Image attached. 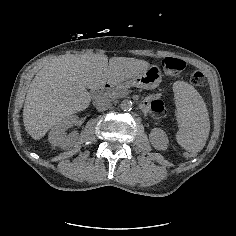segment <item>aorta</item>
Returning <instances> with one entry per match:
<instances>
[{
	"label": "aorta",
	"mask_w": 236,
	"mask_h": 236,
	"mask_svg": "<svg viewBox=\"0 0 236 236\" xmlns=\"http://www.w3.org/2000/svg\"><path fill=\"white\" fill-rule=\"evenodd\" d=\"M120 108L123 111H129L132 109V102L128 99H124L121 103H120Z\"/></svg>",
	"instance_id": "obj_1"
}]
</instances>
